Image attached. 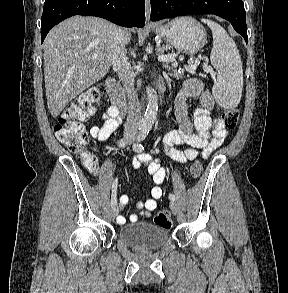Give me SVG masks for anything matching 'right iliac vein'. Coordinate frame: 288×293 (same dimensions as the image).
I'll return each mask as SVG.
<instances>
[{
	"label": "right iliac vein",
	"instance_id": "1",
	"mask_svg": "<svg viewBox=\"0 0 288 293\" xmlns=\"http://www.w3.org/2000/svg\"><path fill=\"white\" fill-rule=\"evenodd\" d=\"M118 213H119V209H118L117 206H114V207L111 208L112 217H116L118 215Z\"/></svg>",
	"mask_w": 288,
	"mask_h": 293
}]
</instances>
